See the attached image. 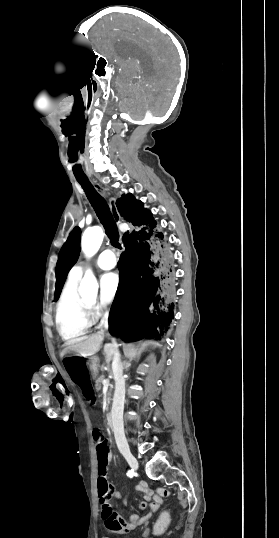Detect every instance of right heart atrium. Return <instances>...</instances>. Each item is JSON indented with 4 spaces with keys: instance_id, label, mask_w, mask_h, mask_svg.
<instances>
[{
    "instance_id": "right-heart-atrium-1",
    "label": "right heart atrium",
    "mask_w": 279,
    "mask_h": 538,
    "mask_svg": "<svg viewBox=\"0 0 279 538\" xmlns=\"http://www.w3.org/2000/svg\"><path fill=\"white\" fill-rule=\"evenodd\" d=\"M95 313L100 317H107L110 313V309L103 303H98L95 306Z\"/></svg>"
}]
</instances>
